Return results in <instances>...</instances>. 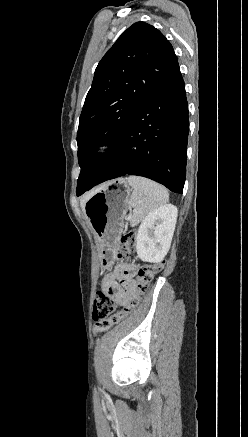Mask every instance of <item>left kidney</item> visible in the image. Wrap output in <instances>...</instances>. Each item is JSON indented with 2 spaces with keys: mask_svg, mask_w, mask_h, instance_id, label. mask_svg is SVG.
Instances as JSON below:
<instances>
[{
  "mask_svg": "<svg viewBox=\"0 0 248 437\" xmlns=\"http://www.w3.org/2000/svg\"><path fill=\"white\" fill-rule=\"evenodd\" d=\"M178 210L167 204L149 213L136 236L138 257L145 262L159 263L169 251Z\"/></svg>",
  "mask_w": 248,
  "mask_h": 437,
  "instance_id": "obj_1",
  "label": "left kidney"
}]
</instances>
